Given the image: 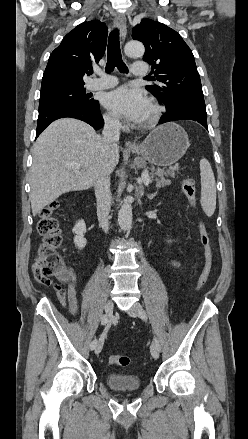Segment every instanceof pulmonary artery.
Segmentation results:
<instances>
[{
  "label": "pulmonary artery",
  "mask_w": 248,
  "mask_h": 439,
  "mask_svg": "<svg viewBox=\"0 0 248 439\" xmlns=\"http://www.w3.org/2000/svg\"><path fill=\"white\" fill-rule=\"evenodd\" d=\"M148 73L147 62H135L132 66V74L134 76H143ZM97 78L88 82V89L103 90L114 87L117 84V79L108 74L97 72Z\"/></svg>",
  "instance_id": "pulmonary-artery-1"
}]
</instances>
